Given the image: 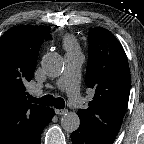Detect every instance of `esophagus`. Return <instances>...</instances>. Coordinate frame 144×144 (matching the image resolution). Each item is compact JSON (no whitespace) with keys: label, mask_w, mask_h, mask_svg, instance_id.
<instances>
[{"label":"esophagus","mask_w":144,"mask_h":144,"mask_svg":"<svg viewBox=\"0 0 144 144\" xmlns=\"http://www.w3.org/2000/svg\"><path fill=\"white\" fill-rule=\"evenodd\" d=\"M68 112L67 109H56L55 110V113L58 114V115H64Z\"/></svg>","instance_id":"1"}]
</instances>
